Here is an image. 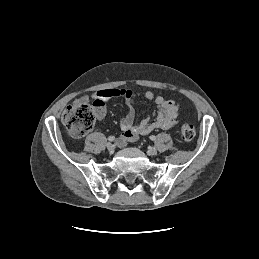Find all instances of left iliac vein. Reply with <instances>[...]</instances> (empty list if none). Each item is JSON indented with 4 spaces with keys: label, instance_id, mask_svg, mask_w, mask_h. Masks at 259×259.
<instances>
[{
    "label": "left iliac vein",
    "instance_id": "4c4485c4",
    "mask_svg": "<svg viewBox=\"0 0 259 259\" xmlns=\"http://www.w3.org/2000/svg\"><path fill=\"white\" fill-rule=\"evenodd\" d=\"M148 155H156L157 154V149L155 147H149L147 150Z\"/></svg>",
    "mask_w": 259,
    "mask_h": 259
}]
</instances>
